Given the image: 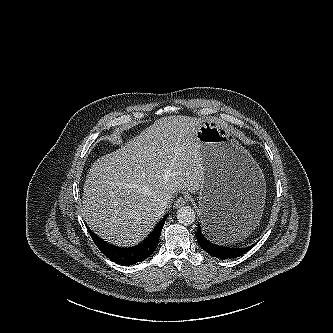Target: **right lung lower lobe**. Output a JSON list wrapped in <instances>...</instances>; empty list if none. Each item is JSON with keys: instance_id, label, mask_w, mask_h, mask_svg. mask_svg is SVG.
I'll list each match as a JSON object with an SVG mask.
<instances>
[{"instance_id": "98d812e1", "label": "right lung lower lobe", "mask_w": 333, "mask_h": 333, "mask_svg": "<svg viewBox=\"0 0 333 333\" xmlns=\"http://www.w3.org/2000/svg\"><path fill=\"white\" fill-rule=\"evenodd\" d=\"M166 218L167 215L164 216L141 244L131 248H122L109 244L99 238L90 229L88 230L94 243L107 258L120 265H132L144 261L155 251Z\"/></svg>"}]
</instances>
